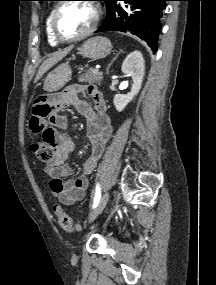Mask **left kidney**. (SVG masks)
Segmentation results:
<instances>
[{
	"mask_svg": "<svg viewBox=\"0 0 216 285\" xmlns=\"http://www.w3.org/2000/svg\"><path fill=\"white\" fill-rule=\"evenodd\" d=\"M121 70L127 76H131L133 84L127 95L117 94L114 96V106L118 112L124 110L129 102L138 94L141 89L145 74L144 58L140 51H133L123 61Z\"/></svg>",
	"mask_w": 216,
	"mask_h": 285,
	"instance_id": "5707ae66",
	"label": "left kidney"
}]
</instances>
